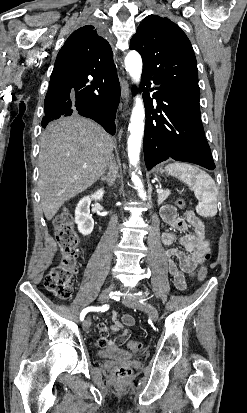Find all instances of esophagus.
<instances>
[{"mask_svg":"<svg viewBox=\"0 0 247 413\" xmlns=\"http://www.w3.org/2000/svg\"><path fill=\"white\" fill-rule=\"evenodd\" d=\"M122 92L124 99L127 101L129 97V87L127 81L124 79L122 80Z\"/></svg>","mask_w":247,"mask_h":413,"instance_id":"obj_1","label":"esophagus"}]
</instances>
